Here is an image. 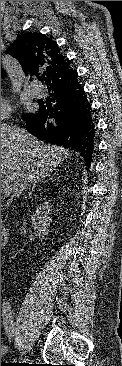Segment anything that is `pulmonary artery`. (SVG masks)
I'll use <instances>...</instances> for the list:
<instances>
[{
    "instance_id": "obj_1",
    "label": "pulmonary artery",
    "mask_w": 122,
    "mask_h": 366,
    "mask_svg": "<svg viewBox=\"0 0 122 366\" xmlns=\"http://www.w3.org/2000/svg\"><path fill=\"white\" fill-rule=\"evenodd\" d=\"M29 91L34 97L43 96V90L39 86H32L30 87Z\"/></svg>"
}]
</instances>
